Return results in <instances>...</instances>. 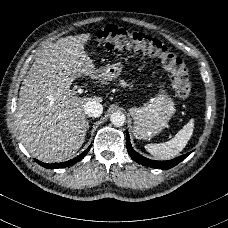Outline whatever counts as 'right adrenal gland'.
Wrapping results in <instances>:
<instances>
[{"mask_svg": "<svg viewBox=\"0 0 228 228\" xmlns=\"http://www.w3.org/2000/svg\"><path fill=\"white\" fill-rule=\"evenodd\" d=\"M87 127H89V122L87 121Z\"/></svg>", "mask_w": 228, "mask_h": 228, "instance_id": "right-adrenal-gland-1", "label": "right adrenal gland"}]
</instances>
